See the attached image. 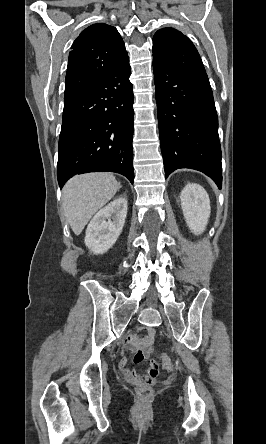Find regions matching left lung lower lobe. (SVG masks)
Wrapping results in <instances>:
<instances>
[{
  "instance_id": "1",
  "label": "left lung lower lobe",
  "mask_w": 266,
  "mask_h": 444,
  "mask_svg": "<svg viewBox=\"0 0 266 444\" xmlns=\"http://www.w3.org/2000/svg\"><path fill=\"white\" fill-rule=\"evenodd\" d=\"M165 177L199 170L222 186L218 117L207 74L184 73L153 59Z\"/></svg>"
}]
</instances>
